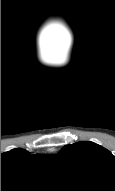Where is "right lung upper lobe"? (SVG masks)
Segmentation results:
<instances>
[{
  "label": "right lung upper lobe",
  "instance_id": "1",
  "mask_svg": "<svg viewBox=\"0 0 115 191\" xmlns=\"http://www.w3.org/2000/svg\"><path fill=\"white\" fill-rule=\"evenodd\" d=\"M24 151H25V150L22 149V148H16V149H13V150L9 151L8 154L17 155V154L23 153Z\"/></svg>",
  "mask_w": 115,
  "mask_h": 191
}]
</instances>
